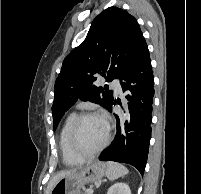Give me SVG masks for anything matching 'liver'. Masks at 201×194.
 <instances>
[{
	"label": "liver",
	"instance_id": "6515ba94",
	"mask_svg": "<svg viewBox=\"0 0 201 194\" xmlns=\"http://www.w3.org/2000/svg\"><path fill=\"white\" fill-rule=\"evenodd\" d=\"M77 171V169H73V170H67V171H61L59 173H57L49 182L48 187H47V194H50L51 190L53 189V187L55 186V184L63 177L71 175L73 173H75Z\"/></svg>",
	"mask_w": 201,
	"mask_h": 194
}]
</instances>
